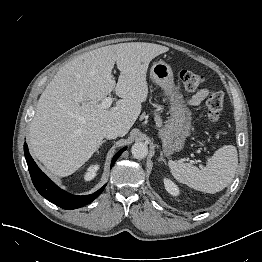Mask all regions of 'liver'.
I'll use <instances>...</instances> for the list:
<instances>
[{
	"instance_id": "liver-1",
	"label": "liver",
	"mask_w": 262,
	"mask_h": 262,
	"mask_svg": "<svg viewBox=\"0 0 262 262\" xmlns=\"http://www.w3.org/2000/svg\"><path fill=\"white\" fill-rule=\"evenodd\" d=\"M168 47L121 43L86 52L56 73L41 94L28 141L34 156L59 177L73 174L99 148L102 128L115 124L128 133L148 96L147 70ZM120 71L117 84L112 69ZM121 99L111 108L102 100L112 91Z\"/></svg>"
}]
</instances>
